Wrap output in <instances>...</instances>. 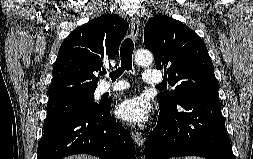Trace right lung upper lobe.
<instances>
[{
	"label": "right lung upper lobe",
	"mask_w": 253,
	"mask_h": 159,
	"mask_svg": "<svg viewBox=\"0 0 253 159\" xmlns=\"http://www.w3.org/2000/svg\"><path fill=\"white\" fill-rule=\"evenodd\" d=\"M128 27L121 17L105 14L74 30L59 49L49 100L94 92L95 72L116 56Z\"/></svg>",
	"instance_id": "1"
}]
</instances>
